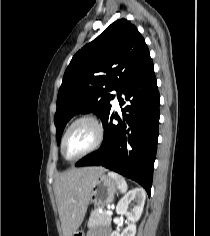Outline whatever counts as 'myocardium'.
Masks as SVG:
<instances>
[{
	"label": "myocardium",
	"mask_w": 210,
	"mask_h": 236,
	"mask_svg": "<svg viewBox=\"0 0 210 236\" xmlns=\"http://www.w3.org/2000/svg\"><path fill=\"white\" fill-rule=\"evenodd\" d=\"M84 121H87V122H90L94 128H95V132H96V136H95V140L94 142L92 143V145L87 148L85 151H83L82 153H80L79 155L73 157V158H67L64 154V143H65V139L68 135V133L70 132V130L78 123L80 122H84ZM104 137H105V129H104V126L102 124V122L94 115H82V116H79L77 118H75L68 126L67 128L65 129L63 135H62V138H61V141H60V152H61V155L62 157L66 160V161H69V162H73V161H77L81 158H83L84 156L92 153L93 151H95L96 149H98L101 144L103 143L104 141Z\"/></svg>",
	"instance_id": "myocardium-1"
}]
</instances>
